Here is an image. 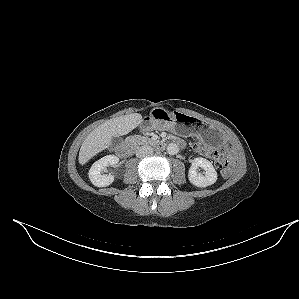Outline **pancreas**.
<instances>
[{"label": "pancreas", "instance_id": "obj_1", "mask_svg": "<svg viewBox=\"0 0 299 299\" xmlns=\"http://www.w3.org/2000/svg\"><path fill=\"white\" fill-rule=\"evenodd\" d=\"M134 145H140L150 142L147 137H143L140 135H134L129 139Z\"/></svg>", "mask_w": 299, "mask_h": 299}]
</instances>
